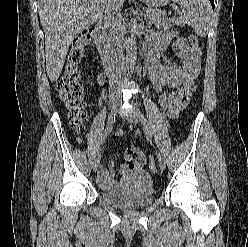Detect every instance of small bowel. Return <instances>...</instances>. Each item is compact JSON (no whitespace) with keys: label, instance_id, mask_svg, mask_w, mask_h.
<instances>
[{"label":"small bowel","instance_id":"small-bowel-1","mask_svg":"<svg viewBox=\"0 0 248 247\" xmlns=\"http://www.w3.org/2000/svg\"><path fill=\"white\" fill-rule=\"evenodd\" d=\"M174 33L166 31L152 37L148 46V73L152 88L156 94L162 92V88L167 86L172 89L169 96V115L176 116L188 103L197 88V78L200 73L199 46L190 45L184 38H177L173 44L174 53L183 59V65L178 66L173 63L163 64L162 52L173 39ZM98 83H104V76L98 77ZM116 134L121 136L123 131L119 129ZM127 163L120 167L121 179L114 178V162L108 161L106 166H101L97 179L104 188H117L123 185L126 176L136 170H141L147 164L144 153L135 148L129 147L124 155Z\"/></svg>","mask_w":248,"mask_h":247}]
</instances>
